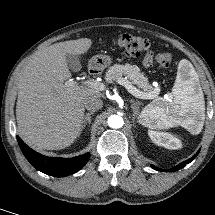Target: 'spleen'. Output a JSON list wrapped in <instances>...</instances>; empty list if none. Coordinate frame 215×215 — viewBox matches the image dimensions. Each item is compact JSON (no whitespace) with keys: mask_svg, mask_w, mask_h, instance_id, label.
Returning <instances> with one entry per match:
<instances>
[{"mask_svg":"<svg viewBox=\"0 0 215 215\" xmlns=\"http://www.w3.org/2000/svg\"><path fill=\"white\" fill-rule=\"evenodd\" d=\"M197 80L198 75L192 64L182 59L178 64L171 99H155L142 110L140 119L151 129L180 125L193 135L199 134L205 120V102Z\"/></svg>","mask_w":215,"mask_h":215,"instance_id":"1","label":"spleen"}]
</instances>
